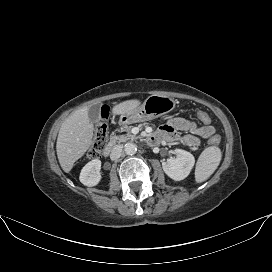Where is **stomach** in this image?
<instances>
[{
	"label": "stomach",
	"mask_w": 272,
	"mask_h": 272,
	"mask_svg": "<svg viewBox=\"0 0 272 272\" xmlns=\"http://www.w3.org/2000/svg\"><path fill=\"white\" fill-rule=\"evenodd\" d=\"M175 106V100L169 96L151 95L140 106L121 114L119 122L127 125L149 121L171 112Z\"/></svg>",
	"instance_id": "0dacf381"
}]
</instances>
